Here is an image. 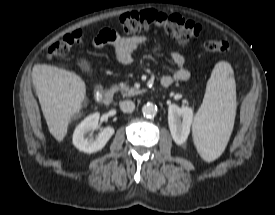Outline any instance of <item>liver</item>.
<instances>
[{"instance_id": "6515ba94", "label": "liver", "mask_w": 275, "mask_h": 215, "mask_svg": "<svg viewBox=\"0 0 275 215\" xmlns=\"http://www.w3.org/2000/svg\"><path fill=\"white\" fill-rule=\"evenodd\" d=\"M32 81L49 132L61 142L86 99L85 82L73 71L46 64L34 65Z\"/></svg>"}]
</instances>
